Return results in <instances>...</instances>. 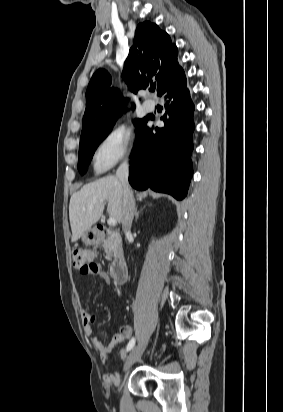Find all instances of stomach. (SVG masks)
<instances>
[{
    "label": "stomach",
    "instance_id": "stomach-1",
    "mask_svg": "<svg viewBox=\"0 0 283 412\" xmlns=\"http://www.w3.org/2000/svg\"><path fill=\"white\" fill-rule=\"evenodd\" d=\"M82 241L86 245H94L98 242V239L96 237V234L94 233L93 230H88L82 235Z\"/></svg>",
    "mask_w": 283,
    "mask_h": 412
}]
</instances>
